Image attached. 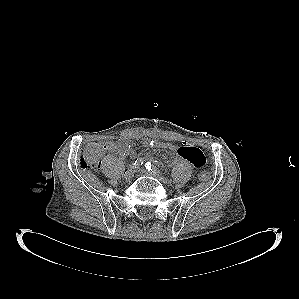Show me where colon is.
<instances>
[{"mask_svg":"<svg viewBox=\"0 0 299 299\" xmlns=\"http://www.w3.org/2000/svg\"><path fill=\"white\" fill-rule=\"evenodd\" d=\"M108 146L104 143H92L87 146L83 155L80 157L79 164L84 169L97 170L100 168V157ZM201 181H207L210 175L207 171H202L199 174Z\"/></svg>","mask_w":299,"mask_h":299,"instance_id":"1","label":"colon"}]
</instances>
